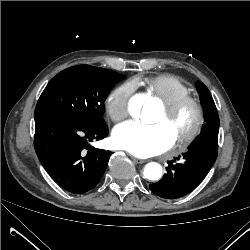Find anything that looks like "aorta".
Returning a JSON list of instances; mask_svg holds the SVG:
<instances>
[{"instance_id": "762f6f07", "label": "aorta", "mask_w": 250, "mask_h": 250, "mask_svg": "<svg viewBox=\"0 0 250 250\" xmlns=\"http://www.w3.org/2000/svg\"><path fill=\"white\" fill-rule=\"evenodd\" d=\"M142 116L146 121H150L152 118V114L147 108L143 110ZM161 175H162V167L160 164L151 162L145 166L144 169L145 178L149 180H158L160 179Z\"/></svg>"}]
</instances>
